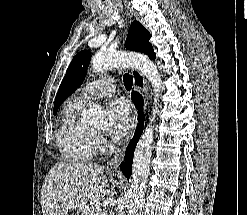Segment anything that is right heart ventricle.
Segmentation results:
<instances>
[{"mask_svg":"<svg viewBox=\"0 0 247 215\" xmlns=\"http://www.w3.org/2000/svg\"><path fill=\"white\" fill-rule=\"evenodd\" d=\"M83 104L69 102L61 117L56 133L57 145L63 157L70 162H86L92 159L97 149L95 136L78 125V114Z\"/></svg>","mask_w":247,"mask_h":215,"instance_id":"right-heart-ventricle-1","label":"right heart ventricle"}]
</instances>
